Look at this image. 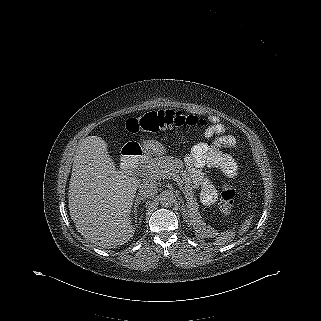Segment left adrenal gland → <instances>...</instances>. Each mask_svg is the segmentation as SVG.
<instances>
[{
  "instance_id": "a2214340",
  "label": "left adrenal gland",
  "mask_w": 321,
  "mask_h": 321,
  "mask_svg": "<svg viewBox=\"0 0 321 321\" xmlns=\"http://www.w3.org/2000/svg\"><path fill=\"white\" fill-rule=\"evenodd\" d=\"M186 215H187V214L185 213V214H184V219H186V218H187V217H186ZM186 221H187V220H186Z\"/></svg>"
}]
</instances>
